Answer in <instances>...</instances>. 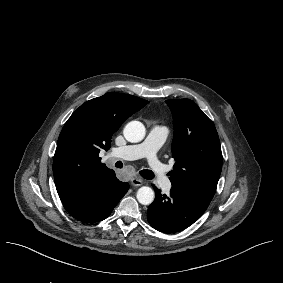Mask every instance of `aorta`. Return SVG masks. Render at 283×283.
<instances>
[{
    "label": "aorta",
    "instance_id": "aorta-1",
    "mask_svg": "<svg viewBox=\"0 0 283 283\" xmlns=\"http://www.w3.org/2000/svg\"><path fill=\"white\" fill-rule=\"evenodd\" d=\"M123 134L127 141L137 143L145 137L146 129L141 122L131 121L125 126ZM136 197L138 202L142 205H149L154 201L155 194L152 188L143 186L138 189Z\"/></svg>",
    "mask_w": 283,
    "mask_h": 283
}]
</instances>
